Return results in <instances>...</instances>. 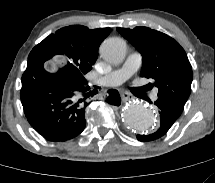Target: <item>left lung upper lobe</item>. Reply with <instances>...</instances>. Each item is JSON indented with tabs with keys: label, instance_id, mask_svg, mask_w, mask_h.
<instances>
[{
	"label": "left lung upper lobe",
	"instance_id": "5c2ea615",
	"mask_svg": "<svg viewBox=\"0 0 215 183\" xmlns=\"http://www.w3.org/2000/svg\"><path fill=\"white\" fill-rule=\"evenodd\" d=\"M117 31L142 54L140 75L153 79L158 99L168 102L181 114L193 79L184 49L170 36L147 27L117 28Z\"/></svg>",
	"mask_w": 215,
	"mask_h": 183
}]
</instances>
